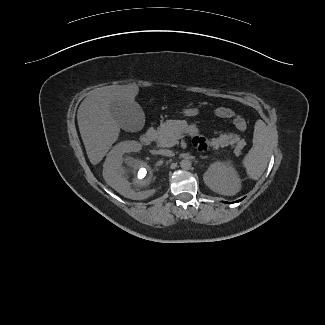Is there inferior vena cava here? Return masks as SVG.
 Listing matches in <instances>:
<instances>
[{"instance_id":"inferior-vena-cava-1","label":"inferior vena cava","mask_w":325,"mask_h":325,"mask_svg":"<svg viewBox=\"0 0 325 325\" xmlns=\"http://www.w3.org/2000/svg\"><path fill=\"white\" fill-rule=\"evenodd\" d=\"M159 154H161L163 156H173L174 155L173 151L168 150V149L159 150Z\"/></svg>"}]
</instances>
